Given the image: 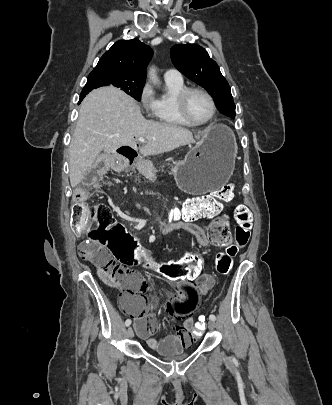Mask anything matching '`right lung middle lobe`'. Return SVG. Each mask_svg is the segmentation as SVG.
<instances>
[{"mask_svg":"<svg viewBox=\"0 0 332 405\" xmlns=\"http://www.w3.org/2000/svg\"><path fill=\"white\" fill-rule=\"evenodd\" d=\"M145 80L133 78L121 73L100 71L89 74L86 85L82 91H91L95 88L113 85L121 88L127 94L140 101Z\"/></svg>","mask_w":332,"mask_h":405,"instance_id":"obj_1","label":"right lung middle lobe"}]
</instances>
